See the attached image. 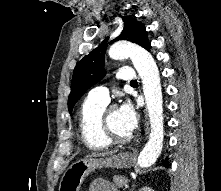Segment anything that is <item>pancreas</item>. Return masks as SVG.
<instances>
[{"label":"pancreas","mask_w":221,"mask_h":191,"mask_svg":"<svg viewBox=\"0 0 221 191\" xmlns=\"http://www.w3.org/2000/svg\"><path fill=\"white\" fill-rule=\"evenodd\" d=\"M113 182L116 184L117 187L122 188L129 182V180L124 175H114Z\"/></svg>","instance_id":"1"}]
</instances>
